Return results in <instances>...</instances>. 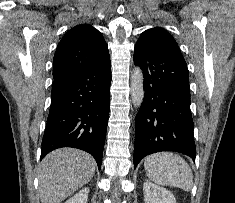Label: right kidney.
Returning a JSON list of instances; mask_svg holds the SVG:
<instances>
[{"label": "right kidney", "instance_id": "ca27d5eb", "mask_svg": "<svg viewBox=\"0 0 235 203\" xmlns=\"http://www.w3.org/2000/svg\"><path fill=\"white\" fill-rule=\"evenodd\" d=\"M89 194V188H84L75 194L73 197L69 198L65 203H87Z\"/></svg>", "mask_w": 235, "mask_h": 203}]
</instances>
